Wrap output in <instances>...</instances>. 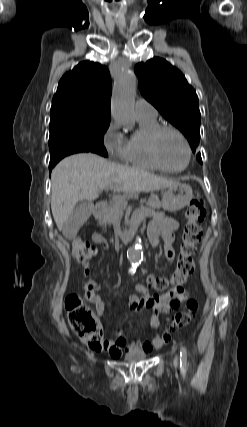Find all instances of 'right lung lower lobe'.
<instances>
[{"label":"right lung lower lobe","instance_id":"obj_1","mask_svg":"<svg viewBox=\"0 0 247 427\" xmlns=\"http://www.w3.org/2000/svg\"><path fill=\"white\" fill-rule=\"evenodd\" d=\"M86 152L78 147H70V148H61L50 153V164H49V172L51 173L52 168L65 156L70 154Z\"/></svg>","mask_w":247,"mask_h":427}]
</instances>
